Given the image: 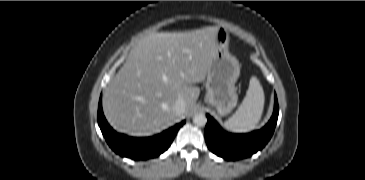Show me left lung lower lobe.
Wrapping results in <instances>:
<instances>
[{
    "instance_id": "left-lung-lower-lobe-1",
    "label": "left lung lower lobe",
    "mask_w": 365,
    "mask_h": 180,
    "mask_svg": "<svg viewBox=\"0 0 365 180\" xmlns=\"http://www.w3.org/2000/svg\"><path fill=\"white\" fill-rule=\"evenodd\" d=\"M279 114L275 94L274 112L270 121L261 130L247 134H230L222 131L217 122L207 114L205 140L208 148L227 160L246 158L261 150L272 137Z\"/></svg>"
}]
</instances>
